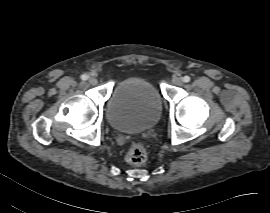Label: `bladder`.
Returning <instances> with one entry per match:
<instances>
[{
	"mask_svg": "<svg viewBox=\"0 0 270 213\" xmlns=\"http://www.w3.org/2000/svg\"><path fill=\"white\" fill-rule=\"evenodd\" d=\"M163 102L156 87L145 77L119 81L110 91L105 116L110 126L122 133L151 129L159 120Z\"/></svg>",
	"mask_w": 270,
	"mask_h": 213,
	"instance_id": "bladder-1",
	"label": "bladder"
}]
</instances>
